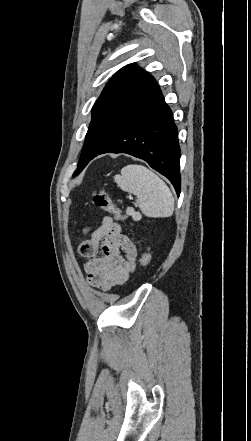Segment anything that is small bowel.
<instances>
[{"label":"small bowel","instance_id":"c3829d8e","mask_svg":"<svg viewBox=\"0 0 251 441\" xmlns=\"http://www.w3.org/2000/svg\"><path fill=\"white\" fill-rule=\"evenodd\" d=\"M85 232H89L86 229ZM101 251L102 255H98ZM88 283L107 291L125 284L135 266L137 249L133 241L122 233L121 226L105 216L100 226L90 232V238L79 245Z\"/></svg>","mask_w":251,"mask_h":441}]
</instances>
